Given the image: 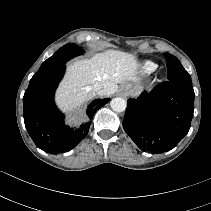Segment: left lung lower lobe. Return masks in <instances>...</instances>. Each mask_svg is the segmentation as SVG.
Returning a JSON list of instances; mask_svg holds the SVG:
<instances>
[{"instance_id":"obj_1","label":"left lung lower lobe","mask_w":211,"mask_h":211,"mask_svg":"<svg viewBox=\"0 0 211 211\" xmlns=\"http://www.w3.org/2000/svg\"><path fill=\"white\" fill-rule=\"evenodd\" d=\"M194 97L192 82L165 81L128 100L123 128L142 151H169L190 129Z\"/></svg>"}]
</instances>
